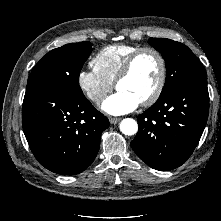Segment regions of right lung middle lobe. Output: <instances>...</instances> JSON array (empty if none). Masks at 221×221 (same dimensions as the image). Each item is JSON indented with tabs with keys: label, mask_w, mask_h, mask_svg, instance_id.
I'll list each match as a JSON object with an SVG mask.
<instances>
[{
	"label": "right lung middle lobe",
	"mask_w": 221,
	"mask_h": 221,
	"mask_svg": "<svg viewBox=\"0 0 221 221\" xmlns=\"http://www.w3.org/2000/svg\"><path fill=\"white\" fill-rule=\"evenodd\" d=\"M92 50V44L87 41L53 49L37 63L28 78L27 87L83 95L79 74Z\"/></svg>",
	"instance_id": "obj_1"
}]
</instances>
